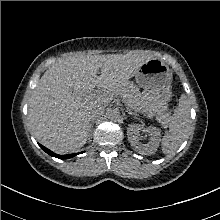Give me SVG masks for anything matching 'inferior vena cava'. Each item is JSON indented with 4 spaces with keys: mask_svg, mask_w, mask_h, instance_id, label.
<instances>
[{
    "mask_svg": "<svg viewBox=\"0 0 220 220\" xmlns=\"http://www.w3.org/2000/svg\"><path fill=\"white\" fill-rule=\"evenodd\" d=\"M105 107L104 106H97L94 109L91 110L90 112V120L94 121L98 119L100 116L104 114Z\"/></svg>",
    "mask_w": 220,
    "mask_h": 220,
    "instance_id": "602c4592",
    "label": "inferior vena cava"
}]
</instances>
